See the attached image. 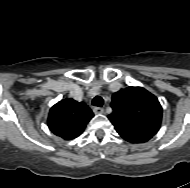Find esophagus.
Returning a JSON list of instances; mask_svg holds the SVG:
<instances>
[{
    "instance_id": "esophagus-1",
    "label": "esophagus",
    "mask_w": 190,
    "mask_h": 188,
    "mask_svg": "<svg viewBox=\"0 0 190 188\" xmlns=\"http://www.w3.org/2000/svg\"><path fill=\"white\" fill-rule=\"evenodd\" d=\"M93 112H94L95 114H102V113H104V109L101 108V107H94V108H93Z\"/></svg>"
}]
</instances>
